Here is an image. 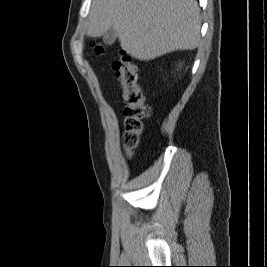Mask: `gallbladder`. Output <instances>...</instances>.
I'll use <instances>...</instances> for the list:
<instances>
[{"mask_svg": "<svg viewBox=\"0 0 267 267\" xmlns=\"http://www.w3.org/2000/svg\"><path fill=\"white\" fill-rule=\"evenodd\" d=\"M117 38L116 31L113 28H110L104 35H103V42L106 45H112Z\"/></svg>", "mask_w": 267, "mask_h": 267, "instance_id": "1", "label": "gallbladder"}]
</instances>
